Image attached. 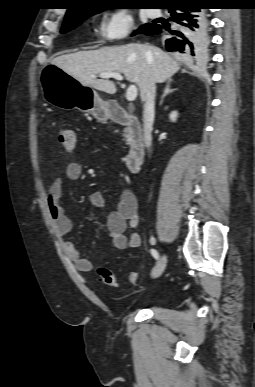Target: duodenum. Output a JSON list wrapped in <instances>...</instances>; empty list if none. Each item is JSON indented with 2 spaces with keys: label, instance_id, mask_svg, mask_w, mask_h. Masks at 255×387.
Masks as SVG:
<instances>
[{
  "label": "duodenum",
  "instance_id": "1",
  "mask_svg": "<svg viewBox=\"0 0 255 387\" xmlns=\"http://www.w3.org/2000/svg\"><path fill=\"white\" fill-rule=\"evenodd\" d=\"M108 118L127 128L130 147L125 158V166L130 173H137L144 160L143 131L139 119L118 104L108 108Z\"/></svg>",
  "mask_w": 255,
  "mask_h": 387
}]
</instances>
